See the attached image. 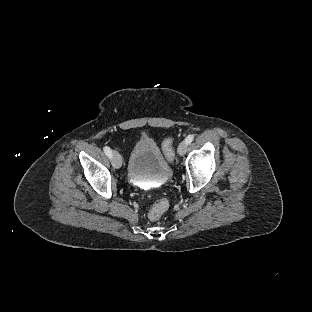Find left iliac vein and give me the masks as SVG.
<instances>
[{
    "instance_id": "4c4485c4",
    "label": "left iliac vein",
    "mask_w": 312,
    "mask_h": 312,
    "mask_svg": "<svg viewBox=\"0 0 312 312\" xmlns=\"http://www.w3.org/2000/svg\"><path fill=\"white\" fill-rule=\"evenodd\" d=\"M187 146H188V143L186 141H182L179 146H178V153L179 155H183L185 154L186 150H187Z\"/></svg>"
}]
</instances>
